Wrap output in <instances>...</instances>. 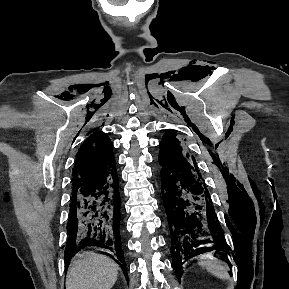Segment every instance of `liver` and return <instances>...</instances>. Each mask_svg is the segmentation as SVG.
Returning <instances> with one entry per match:
<instances>
[{"instance_id":"1","label":"liver","mask_w":289,"mask_h":289,"mask_svg":"<svg viewBox=\"0 0 289 289\" xmlns=\"http://www.w3.org/2000/svg\"><path fill=\"white\" fill-rule=\"evenodd\" d=\"M118 265L109 257L88 252L73 260L67 272L66 289H111Z\"/></svg>"}]
</instances>
